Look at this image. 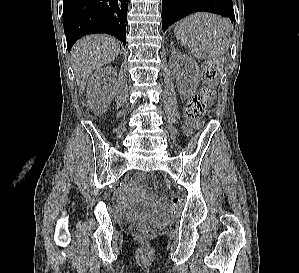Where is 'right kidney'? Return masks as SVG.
Returning <instances> with one entry per match:
<instances>
[{
  "label": "right kidney",
  "instance_id": "obj_1",
  "mask_svg": "<svg viewBox=\"0 0 299 273\" xmlns=\"http://www.w3.org/2000/svg\"><path fill=\"white\" fill-rule=\"evenodd\" d=\"M116 76V71L111 66H106L98 69L91 75L87 85V101L90 107L97 113H103L108 108L112 95L115 90V85L112 81L102 83Z\"/></svg>",
  "mask_w": 299,
  "mask_h": 273
}]
</instances>
